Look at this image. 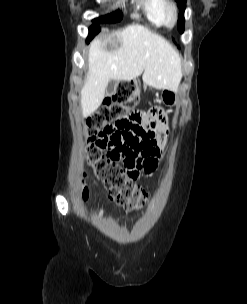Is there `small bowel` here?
<instances>
[{"instance_id": "1", "label": "small bowel", "mask_w": 247, "mask_h": 304, "mask_svg": "<svg viewBox=\"0 0 247 304\" xmlns=\"http://www.w3.org/2000/svg\"><path fill=\"white\" fill-rule=\"evenodd\" d=\"M127 119L114 122V127L106 129L100 140L105 149L108 162L121 165L125 172L136 181L142 171L155 170L166 142L158 138L157 132L168 133L169 127L165 113L160 108H151L150 112H127ZM152 159V163H147Z\"/></svg>"}]
</instances>
